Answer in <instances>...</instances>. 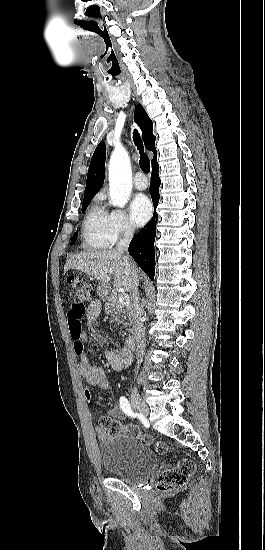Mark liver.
I'll use <instances>...</instances> for the list:
<instances>
[{"mask_svg":"<svg viewBox=\"0 0 265 550\" xmlns=\"http://www.w3.org/2000/svg\"><path fill=\"white\" fill-rule=\"evenodd\" d=\"M76 269L84 272L101 282L100 293L110 291V281L113 277L115 290L132 291V272L138 270L132 260L126 261L115 249L88 251L76 254L66 261L64 272Z\"/></svg>","mask_w":265,"mask_h":550,"instance_id":"obj_1","label":"liver"}]
</instances>
